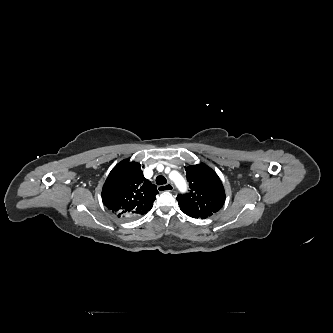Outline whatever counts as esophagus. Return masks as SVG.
<instances>
[{"label":"esophagus","mask_w":333,"mask_h":333,"mask_svg":"<svg viewBox=\"0 0 333 333\" xmlns=\"http://www.w3.org/2000/svg\"><path fill=\"white\" fill-rule=\"evenodd\" d=\"M158 189L160 191H173L174 190V186L171 183H168L166 185L159 186Z\"/></svg>","instance_id":"34e87169"}]
</instances>
